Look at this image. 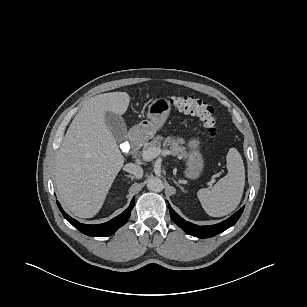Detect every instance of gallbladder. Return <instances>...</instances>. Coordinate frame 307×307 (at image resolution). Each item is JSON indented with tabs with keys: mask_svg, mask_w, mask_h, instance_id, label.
<instances>
[{
	"mask_svg": "<svg viewBox=\"0 0 307 307\" xmlns=\"http://www.w3.org/2000/svg\"><path fill=\"white\" fill-rule=\"evenodd\" d=\"M105 123L118 142L126 140L127 127L123 117L112 112H106Z\"/></svg>",
	"mask_w": 307,
	"mask_h": 307,
	"instance_id": "gallbladder-1",
	"label": "gallbladder"
}]
</instances>
